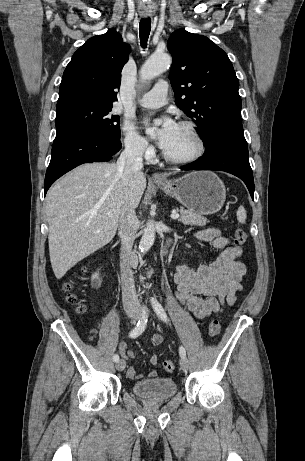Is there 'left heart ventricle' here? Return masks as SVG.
<instances>
[{
	"label": "left heart ventricle",
	"mask_w": 305,
	"mask_h": 461,
	"mask_svg": "<svg viewBox=\"0 0 305 461\" xmlns=\"http://www.w3.org/2000/svg\"><path fill=\"white\" fill-rule=\"evenodd\" d=\"M196 149V142L187 129L178 125L176 136L171 145L165 150L173 157H186Z\"/></svg>",
	"instance_id": "b2bd125f"
}]
</instances>
